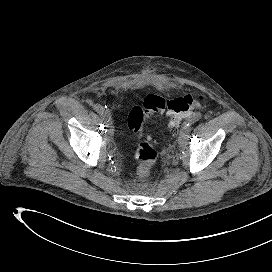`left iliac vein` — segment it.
<instances>
[{"mask_svg": "<svg viewBox=\"0 0 272 272\" xmlns=\"http://www.w3.org/2000/svg\"><path fill=\"white\" fill-rule=\"evenodd\" d=\"M190 132L189 127H184L183 130L179 134V146L183 147L186 143V138Z\"/></svg>", "mask_w": 272, "mask_h": 272, "instance_id": "obj_1", "label": "left iliac vein"}]
</instances>
